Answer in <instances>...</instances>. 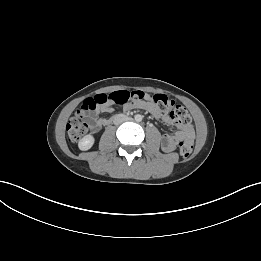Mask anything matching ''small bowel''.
I'll list each match as a JSON object with an SVG mask.
<instances>
[{"instance_id":"obj_1","label":"small bowel","mask_w":261,"mask_h":261,"mask_svg":"<svg viewBox=\"0 0 261 261\" xmlns=\"http://www.w3.org/2000/svg\"><path fill=\"white\" fill-rule=\"evenodd\" d=\"M130 107H136L141 108L149 111L152 113L156 118L161 119L164 123L167 125H172L173 121L169 117L168 114H162L156 110V108L149 104H142L139 106H130ZM112 109L109 106H106L104 108H101L99 111H97L94 115L90 116V129L93 132L99 131L104 125L107 124L108 119L105 117L99 116V112H110ZM194 138V129L190 125H184L179 126L178 130L170 135L166 134L162 136L161 140V147L164 152H173L176 149V146L183 140H193Z\"/></svg>"}]
</instances>
